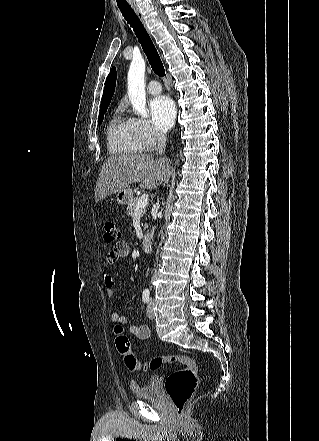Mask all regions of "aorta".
I'll return each mask as SVG.
<instances>
[{
  "mask_svg": "<svg viewBox=\"0 0 319 441\" xmlns=\"http://www.w3.org/2000/svg\"><path fill=\"white\" fill-rule=\"evenodd\" d=\"M144 75L145 60L142 57L133 58L128 71L127 90L134 111L145 118L148 117V110L146 108Z\"/></svg>",
  "mask_w": 319,
  "mask_h": 441,
  "instance_id": "obj_1",
  "label": "aorta"
}]
</instances>
